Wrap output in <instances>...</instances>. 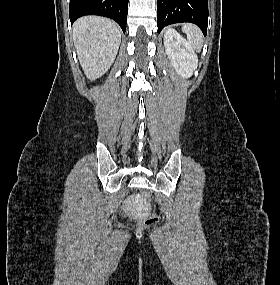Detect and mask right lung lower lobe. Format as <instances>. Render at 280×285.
Returning <instances> with one entry per match:
<instances>
[{"label":"right lung lower lobe","mask_w":280,"mask_h":285,"mask_svg":"<svg viewBox=\"0 0 280 285\" xmlns=\"http://www.w3.org/2000/svg\"><path fill=\"white\" fill-rule=\"evenodd\" d=\"M128 0H70L71 24L84 15H100L115 20L126 31Z\"/></svg>","instance_id":"obj_1"}]
</instances>
